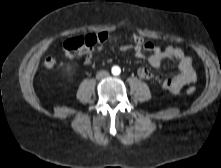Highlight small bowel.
Returning <instances> with one entry per match:
<instances>
[{
    "instance_id": "c3829d8e",
    "label": "small bowel",
    "mask_w": 221,
    "mask_h": 168,
    "mask_svg": "<svg viewBox=\"0 0 221 168\" xmlns=\"http://www.w3.org/2000/svg\"><path fill=\"white\" fill-rule=\"evenodd\" d=\"M120 51H133L138 58L145 57L148 54V62L154 68H159L163 61L169 60L178 64V73L170 78L161 80L155 77L148 69L140 67L137 74L142 79H155L161 87L171 93H178L184 86L196 81L197 74L193 65L192 59L187 56L180 48L166 47L165 49L154 45L148 41L144 47L134 46L132 44L120 45ZM92 62V55L88 54L85 58V63Z\"/></svg>"
}]
</instances>
